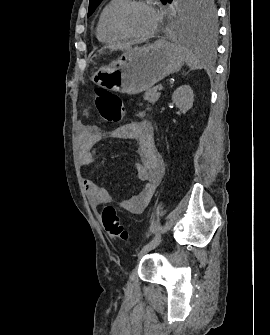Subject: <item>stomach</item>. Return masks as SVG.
Returning a JSON list of instances; mask_svg holds the SVG:
<instances>
[{
  "label": "stomach",
  "mask_w": 270,
  "mask_h": 335,
  "mask_svg": "<svg viewBox=\"0 0 270 335\" xmlns=\"http://www.w3.org/2000/svg\"><path fill=\"white\" fill-rule=\"evenodd\" d=\"M185 54L177 44L156 40L142 48L122 54L109 68H100L92 76L94 84L120 94H140L150 90L165 76L181 70Z\"/></svg>",
  "instance_id": "1"
}]
</instances>
